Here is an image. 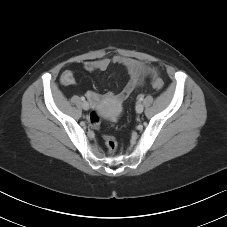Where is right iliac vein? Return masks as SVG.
<instances>
[{
  "mask_svg": "<svg viewBox=\"0 0 227 227\" xmlns=\"http://www.w3.org/2000/svg\"><path fill=\"white\" fill-rule=\"evenodd\" d=\"M82 108H83L84 110H88V109H89V104H88V102H83V103H82Z\"/></svg>",
  "mask_w": 227,
  "mask_h": 227,
  "instance_id": "right-iliac-vein-1",
  "label": "right iliac vein"
}]
</instances>
